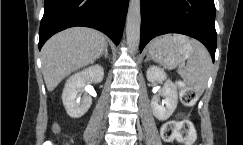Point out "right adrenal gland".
I'll return each instance as SVG.
<instances>
[{"label":"right adrenal gland","instance_id":"2a0ac1e0","mask_svg":"<svg viewBox=\"0 0 243 145\" xmlns=\"http://www.w3.org/2000/svg\"><path fill=\"white\" fill-rule=\"evenodd\" d=\"M103 55L106 59L108 58V45H106L103 53L99 56V58H101Z\"/></svg>","mask_w":243,"mask_h":145}]
</instances>
